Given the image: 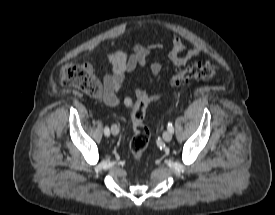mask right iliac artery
Masks as SVG:
<instances>
[{
	"instance_id": "right-iliac-artery-1",
	"label": "right iliac artery",
	"mask_w": 275,
	"mask_h": 215,
	"mask_svg": "<svg viewBox=\"0 0 275 215\" xmlns=\"http://www.w3.org/2000/svg\"><path fill=\"white\" fill-rule=\"evenodd\" d=\"M104 133H105L106 136H109V135H110L109 127H107V126L105 127Z\"/></svg>"
}]
</instances>
